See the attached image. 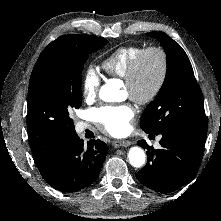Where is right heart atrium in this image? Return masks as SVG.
<instances>
[{"instance_id": "right-heart-atrium-1", "label": "right heart atrium", "mask_w": 221, "mask_h": 221, "mask_svg": "<svg viewBox=\"0 0 221 221\" xmlns=\"http://www.w3.org/2000/svg\"><path fill=\"white\" fill-rule=\"evenodd\" d=\"M101 84V76L93 67L88 66L82 78V94L86 100H93L99 91Z\"/></svg>"}]
</instances>
